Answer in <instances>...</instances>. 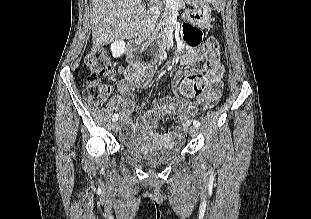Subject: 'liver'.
<instances>
[{"label":"liver","instance_id":"6515ba94","mask_svg":"<svg viewBox=\"0 0 311 219\" xmlns=\"http://www.w3.org/2000/svg\"><path fill=\"white\" fill-rule=\"evenodd\" d=\"M92 41L96 47L138 35L146 22L144 0H90Z\"/></svg>","mask_w":311,"mask_h":219}]
</instances>
